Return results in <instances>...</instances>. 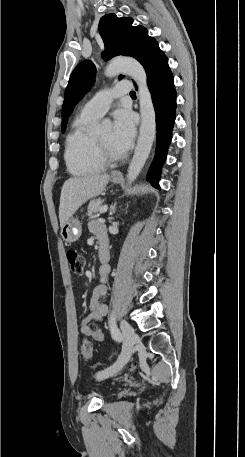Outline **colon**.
<instances>
[{
    "label": "colon",
    "mask_w": 245,
    "mask_h": 457,
    "mask_svg": "<svg viewBox=\"0 0 245 457\" xmlns=\"http://www.w3.org/2000/svg\"><path fill=\"white\" fill-rule=\"evenodd\" d=\"M68 263L74 274H81L84 269V258L76 250H68L66 253ZM80 354L84 359H90L93 355V344L91 340L84 339L79 346Z\"/></svg>",
    "instance_id": "colon-1"
}]
</instances>
